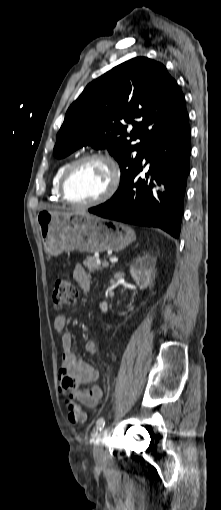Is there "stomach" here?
I'll return each mask as SVG.
<instances>
[{
    "label": "stomach",
    "instance_id": "stomach-1",
    "mask_svg": "<svg viewBox=\"0 0 221 510\" xmlns=\"http://www.w3.org/2000/svg\"><path fill=\"white\" fill-rule=\"evenodd\" d=\"M37 222L45 251L52 256L74 250L120 251L135 239L124 224L87 213L41 211Z\"/></svg>",
    "mask_w": 221,
    "mask_h": 510
}]
</instances>
